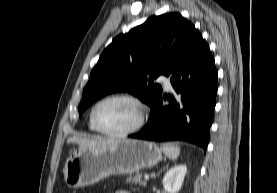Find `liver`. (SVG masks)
Returning a JSON list of instances; mask_svg holds the SVG:
<instances>
[{"label": "liver", "instance_id": "6515ba94", "mask_svg": "<svg viewBox=\"0 0 277 193\" xmlns=\"http://www.w3.org/2000/svg\"><path fill=\"white\" fill-rule=\"evenodd\" d=\"M115 140L102 137H93V138H80V137H71L67 140V143H77L80 147L87 148H103L112 144Z\"/></svg>", "mask_w": 277, "mask_h": 193}]
</instances>
